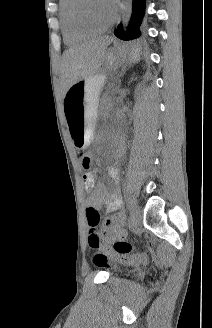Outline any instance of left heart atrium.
<instances>
[{
	"mask_svg": "<svg viewBox=\"0 0 212 328\" xmlns=\"http://www.w3.org/2000/svg\"><path fill=\"white\" fill-rule=\"evenodd\" d=\"M105 1L110 7H112L113 9L115 8L117 0H105Z\"/></svg>",
	"mask_w": 212,
	"mask_h": 328,
	"instance_id": "obj_1",
	"label": "left heart atrium"
}]
</instances>
